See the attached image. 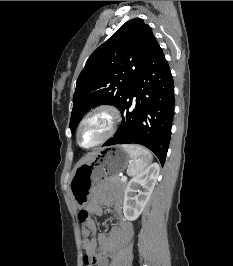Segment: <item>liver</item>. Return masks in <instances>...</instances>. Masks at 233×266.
Instances as JSON below:
<instances>
[{"label": "liver", "mask_w": 233, "mask_h": 266, "mask_svg": "<svg viewBox=\"0 0 233 266\" xmlns=\"http://www.w3.org/2000/svg\"><path fill=\"white\" fill-rule=\"evenodd\" d=\"M96 154H97V152H93V153L88 154L86 157H84L83 159H81L78 162V164L76 165V167L80 166L83 163H87V162L91 161L95 157Z\"/></svg>", "instance_id": "1"}]
</instances>
